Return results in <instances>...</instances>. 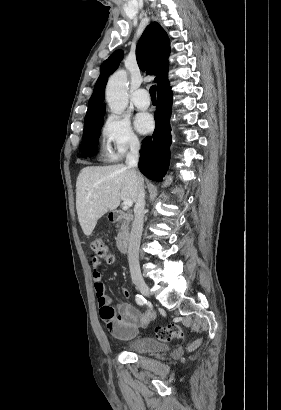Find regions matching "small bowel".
<instances>
[{"instance_id":"1","label":"small bowel","mask_w":281,"mask_h":410,"mask_svg":"<svg viewBox=\"0 0 281 410\" xmlns=\"http://www.w3.org/2000/svg\"><path fill=\"white\" fill-rule=\"evenodd\" d=\"M101 264L100 258H92V277L101 317L104 321L107 317L103 311L111 310L114 314L112 318L113 327L110 329L112 336L119 340H131L137 335L140 327H145L154 318V313L149 310L142 312L131 304L122 303L118 305L119 314L115 315L114 308L111 306V299L102 282ZM122 294L128 298L131 292L127 288H123Z\"/></svg>"}]
</instances>
